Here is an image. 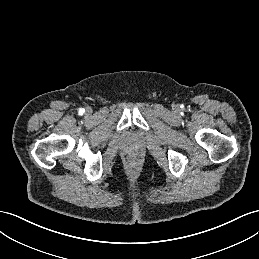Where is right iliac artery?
Returning <instances> with one entry per match:
<instances>
[{
	"mask_svg": "<svg viewBox=\"0 0 259 259\" xmlns=\"http://www.w3.org/2000/svg\"><path fill=\"white\" fill-rule=\"evenodd\" d=\"M84 113V109L83 108H80L79 109V114H83Z\"/></svg>",
	"mask_w": 259,
	"mask_h": 259,
	"instance_id": "right-iliac-artery-1",
	"label": "right iliac artery"
}]
</instances>
